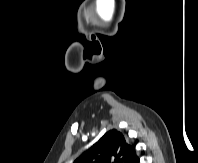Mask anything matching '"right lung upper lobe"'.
Returning <instances> with one entry per match:
<instances>
[{"mask_svg":"<svg viewBox=\"0 0 198 163\" xmlns=\"http://www.w3.org/2000/svg\"><path fill=\"white\" fill-rule=\"evenodd\" d=\"M134 148L127 144L123 134L115 129L104 134L74 163H137Z\"/></svg>","mask_w":198,"mask_h":163,"instance_id":"right-lung-upper-lobe-1","label":"right lung upper lobe"}]
</instances>
